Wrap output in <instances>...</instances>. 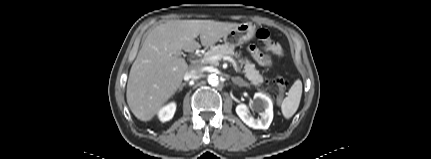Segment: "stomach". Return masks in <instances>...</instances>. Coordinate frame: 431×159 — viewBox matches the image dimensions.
<instances>
[{
    "instance_id": "stomach-1",
    "label": "stomach",
    "mask_w": 431,
    "mask_h": 159,
    "mask_svg": "<svg viewBox=\"0 0 431 159\" xmlns=\"http://www.w3.org/2000/svg\"><path fill=\"white\" fill-rule=\"evenodd\" d=\"M254 33V25H252L251 23H242L230 30L223 37V40L226 45L236 47L253 38Z\"/></svg>"
}]
</instances>
